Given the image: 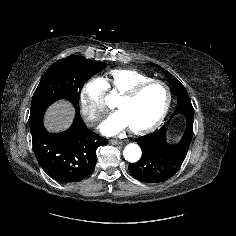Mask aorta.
<instances>
[{
	"mask_svg": "<svg viewBox=\"0 0 236 236\" xmlns=\"http://www.w3.org/2000/svg\"><path fill=\"white\" fill-rule=\"evenodd\" d=\"M141 153V148L137 144L130 143L125 147L123 156L128 162L134 163L141 158Z\"/></svg>",
	"mask_w": 236,
	"mask_h": 236,
	"instance_id": "obj_1",
	"label": "aorta"
}]
</instances>
